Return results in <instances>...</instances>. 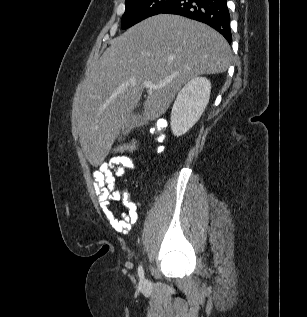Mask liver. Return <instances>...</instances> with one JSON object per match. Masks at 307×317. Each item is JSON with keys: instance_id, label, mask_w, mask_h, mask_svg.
<instances>
[{"instance_id": "6515ba94", "label": "liver", "mask_w": 307, "mask_h": 317, "mask_svg": "<svg viewBox=\"0 0 307 317\" xmlns=\"http://www.w3.org/2000/svg\"><path fill=\"white\" fill-rule=\"evenodd\" d=\"M231 58L220 33L178 15L150 17L113 39L88 70L73 102L80 144L90 163L97 167L104 161L146 81L165 84L149 90L143 104V115L153 121L186 82L225 72Z\"/></svg>"}]
</instances>
